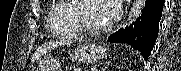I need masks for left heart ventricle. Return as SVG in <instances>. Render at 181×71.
<instances>
[{"label":"left heart ventricle","mask_w":181,"mask_h":71,"mask_svg":"<svg viewBox=\"0 0 181 71\" xmlns=\"http://www.w3.org/2000/svg\"><path fill=\"white\" fill-rule=\"evenodd\" d=\"M106 1L90 0L82 3L81 17L86 25L90 27H101L106 24L104 13Z\"/></svg>","instance_id":"1"}]
</instances>
